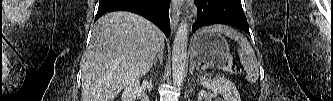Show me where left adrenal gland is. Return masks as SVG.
<instances>
[{
	"label": "left adrenal gland",
	"mask_w": 333,
	"mask_h": 101,
	"mask_svg": "<svg viewBox=\"0 0 333 101\" xmlns=\"http://www.w3.org/2000/svg\"><path fill=\"white\" fill-rule=\"evenodd\" d=\"M195 69L200 72L199 66L194 61L193 57H191L190 67H189V72H190L191 75H193V72H194Z\"/></svg>",
	"instance_id": "obj_1"
}]
</instances>
